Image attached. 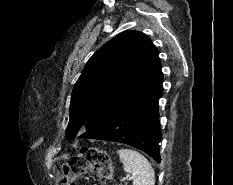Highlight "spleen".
I'll list each match as a JSON object with an SVG mask.
<instances>
[{
  "label": "spleen",
  "mask_w": 233,
  "mask_h": 185,
  "mask_svg": "<svg viewBox=\"0 0 233 185\" xmlns=\"http://www.w3.org/2000/svg\"><path fill=\"white\" fill-rule=\"evenodd\" d=\"M124 170L132 175L133 185H154L155 172L150 162L139 152L122 148L118 151Z\"/></svg>",
  "instance_id": "obj_1"
}]
</instances>
